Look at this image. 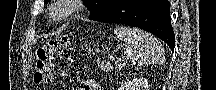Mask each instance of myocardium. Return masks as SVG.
Returning a JSON list of instances; mask_svg holds the SVG:
<instances>
[{
  "label": "myocardium",
  "mask_w": 216,
  "mask_h": 90,
  "mask_svg": "<svg viewBox=\"0 0 216 90\" xmlns=\"http://www.w3.org/2000/svg\"><path fill=\"white\" fill-rule=\"evenodd\" d=\"M88 0H56L57 4L52 6L50 18L53 22H61L67 19L72 13L79 11L80 7L63 3H84Z\"/></svg>",
  "instance_id": "myocardium-1"
}]
</instances>
